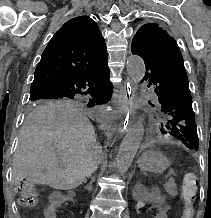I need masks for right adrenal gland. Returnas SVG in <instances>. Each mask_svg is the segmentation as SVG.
Listing matches in <instances>:
<instances>
[{
  "label": "right adrenal gland",
  "instance_id": "2a0ac1e0",
  "mask_svg": "<svg viewBox=\"0 0 211 218\" xmlns=\"http://www.w3.org/2000/svg\"><path fill=\"white\" fill-rule=\"evenodd\" d=\"M93 182H95V180H93V178H92L90 184H87V186H85L86 190H89V192H91V190H92V184H93Z\"/></svg>",
  "mask_w": 211,
  "mask_h": 218
}]
</instances>
